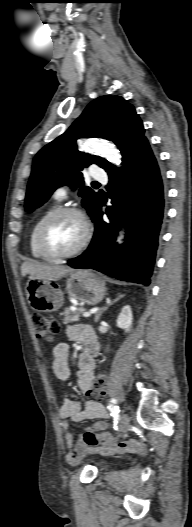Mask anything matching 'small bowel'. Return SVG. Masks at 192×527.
Segmentation results:
<instances>
[{"mask_svg":"<svg viewBox=\"0 0 192 527\" xmlns=\"http://www.w3.org/2000/svg\"><path fill=\"white\" fill-rule=\"evenodd\" d=\"M67 337L74 342H81L85 345L83 353L78 359L77 383L80 390L89 398L84 405L66 396L59 409L63 435L69 449L67 460L69 463H76L91 447L97 444H106L103 450L109 454L115 450L113 440L107 435L105 429L107 423L104 421L108 413L105 407L93 397L94 380L93 369L95 366L94 358L98 352L97 337L93 329L88 325H72L67 328ZM53 363L52 370L54 375L61 381H67L71 372L68 363L69 346L66 343H58L52 351ZM96 420L90 429L83 431L76 444L73 441V434L70 431L71 422L83 420ZM118 448L125 450H137L139 445L135 441L124 442Z\"/></svg>","mask_w":192,"mask_h":527,"instance_id":"1","label":"small bowel"}]
</instances>
